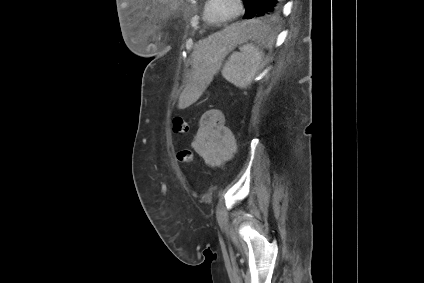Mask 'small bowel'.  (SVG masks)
<instances>
[{"label": "small bowel", "instance_id": "obj_1", "mask_svg": "<svg viewBox=\"0 0 424 283\" xmlns=\"http://www.w3.org/2000/svg\"><path fill=\"white\" fill-rule=\"evenodd\" d=\"M191 148L210 167L221 166L232 158L236 142L222 110L210 109L202 114Z\"/></svg>", "mask_w": 424, "mask_h": 283}]
</instances>
